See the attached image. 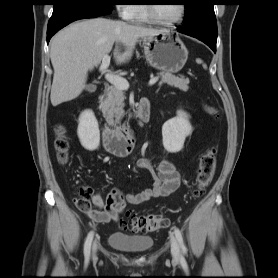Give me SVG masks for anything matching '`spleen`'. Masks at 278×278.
<instances>
[{"mask_svg":"<svg viewBox=\"0 0 278 278\" xmlns=\"http://www.w3.org/2000/svg\"><path fill=\"white\" fill-rule=\"evenodd\" d=\"M198 62H199V63H202L201 60H198ZM203 67L206 69V68H207L206 64H203Z\"/></svg>","mask_w":278,"mask_h":278,"instance_id":"1","label":"spleen"}]
</instances>
